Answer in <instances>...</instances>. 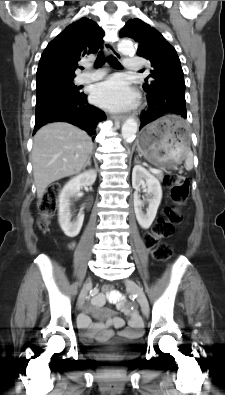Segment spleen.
I'll use <instances>...</instances> for the list:
<instances>
[{
	"instance_id": "obj_1",
	"label": "spleen",
	"mask_w": 225,
	"mask_h": 395,
	"mask_svg": "<svg viewBox=\"0 0 225 395\" xmlns=\"http://www.w3.org/2000/svg\"><path fill=\"white\" fill-rule=\"evenodd\" d=\"M185 166L188 170L193 168V154H192L191 150H189L187 152Z\"/></svg>"
}]
</instances>
